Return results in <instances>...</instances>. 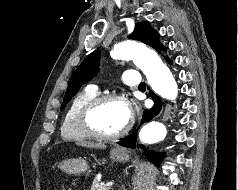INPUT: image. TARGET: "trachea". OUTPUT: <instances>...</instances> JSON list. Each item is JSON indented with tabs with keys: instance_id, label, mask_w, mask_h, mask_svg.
<instances>
[{
	"instance_id": "obj_1",
	"label": "trachea",
	"mask_w": 238,
	"mask_h": 190,
	"mask_svg": "<svg viewBox=\"0 0 238 190\" xmlns=\"http://www.w3.org/2000/svg\"><path fill=\"white\" fill-rule=\"evenodd\" d=\"M139 88H145V83L142 82V83L139 85Z\"/></svg>"
}]
</instances>
